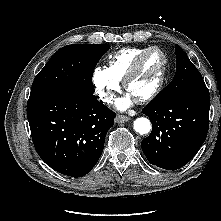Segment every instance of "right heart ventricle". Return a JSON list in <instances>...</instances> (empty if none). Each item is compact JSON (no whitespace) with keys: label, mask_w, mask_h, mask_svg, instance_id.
<instances>
[{"label":"right heart ventricle","mask_w":221,"mask_h":221,"mask_svg":"<svg viewBox=\"0 0 221 221\" xmlns=\"http://www.w3.org/2000/svg\"><path fill=\"white\" fill-rule=\"evenodd\" d=\"M146 48H123L109 60V71L120 81L123 80L136 57Z\"/></svg>","instance_id":"right-heart-ventricle-1"}]
</instances>
